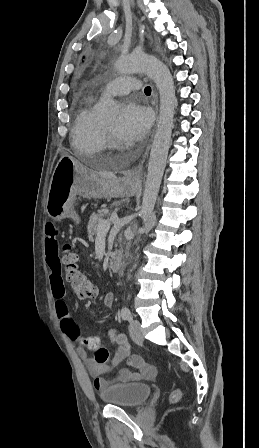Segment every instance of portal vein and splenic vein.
Segmentation results:
<instances>
[{"label":"portal vein and splenic vein","instance_id":"obj_1","mask_svg":"<svg viewBox=\"0 0 259 448\" xmlns=\"http://www.w3.org/2000/svg\"><path fill=\"white\" fill-rule=\"evenodd\" d=\"M114 220H118V216H115ZM98 234H103V232H108L110 230V220H102V222H99L98 224Z\"/></svg>","mask_w":259,"mask_h":448}]
</instances>
